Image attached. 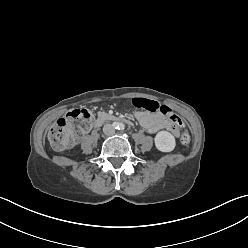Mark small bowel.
Here are the masks:
<instances>
[{
  "label": "small bowel",
  "mask_w": 248,
  "mask_h": 248,
  "mask_svg": "<svg viewBox=\"0 0 248 248\" xmlns=\"http://www.w3.org/2000/svg\"><path fill=\"white\" fill-rule=\"evenodd\" d=\"M136 119L140 122L142 127L149 133H157L161 130H167L174 136L179 135L181 125L173 122L169 117L156 112L150 113L145 111H136Z\"/></svg>",
  "instance_id": "small-bowel-1"
}]
</instances>
